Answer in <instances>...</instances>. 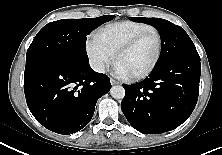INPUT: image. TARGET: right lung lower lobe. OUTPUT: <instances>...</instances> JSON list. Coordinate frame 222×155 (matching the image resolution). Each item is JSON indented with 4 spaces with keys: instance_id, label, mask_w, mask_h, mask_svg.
I'll return each instance as SVG.
<instances>
[{
    "instance_id": "98d812e1",
    "label": "right lung lower lobe",
    "mask_w": 222,
    "mask_h": 155,
    "mask_svg": "<svg viewBox=\"0 0 222 155\" xmlns=\"http://www.w3.org/2000/svg\"><path fill=\"white\" fill-rule=\"evenodd\" d=\"M110 88L109 77L95 72L88 62H50L24 73L31 113L47 129L64 135L89 123L97 100Z\"/></svg>"
}]
</instances>
